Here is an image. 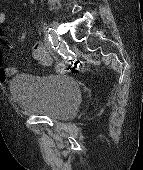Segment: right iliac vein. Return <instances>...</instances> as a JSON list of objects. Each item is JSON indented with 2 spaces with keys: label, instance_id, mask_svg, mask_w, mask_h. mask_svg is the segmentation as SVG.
Wrapping results in <instances>:
<instances>
[{
  "label": "right iliac vein",
  "instance_id": "63e3f726",
  "mask_svg": "<svg viewBox=\"0 0 143 170\" xmlns=\"http://www.w3.org/2000/svg\"><path fill=\"white\" fill-rule=\"evenodd\" d=\"M51 25H52V26H55V24H54V23H51Z\"/></svg>",
  "mask_w": 143,
  "mask_h": 170
}]
</instances>
